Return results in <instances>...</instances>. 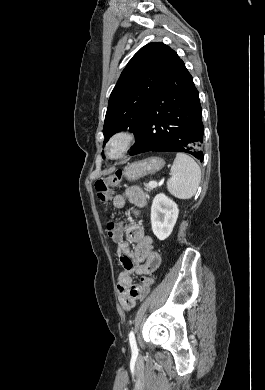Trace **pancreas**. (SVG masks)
Wrapping results in <instances>:
<instances>
[{"label": "pancreas", "mask_w": 265, "mask_h": 390, "mask_svg": "<svg viewBox=\"0 0 265 390\" xmlns=\"http://www.w3.org/2000/svg\"><path fill=\"white\" fill-rule=\"evenodd\" d=\"M144 186H145V190L148 191V192H150L151 190H153V188H155V187L152 186L150 183L145 184Z\"/></svg>", "instance_id": "1"}]
</instances>
